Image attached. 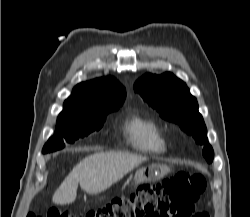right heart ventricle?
<instances>
[{
  "label": "right heart ventricle",
  "mask_w": 250,
  "mask_h": 217,
  "mask_svg": "<svg viewBox=\"0 0 250 217\" xmlns=\"http://www.w3.org/2000/svg\"><path fill=\"white\" fill-rule=\"evenodd\" d=\"M128 145L136 151L162 154L167 150V139L156 122L140 115H131L122 126Z\"/></svg>",
  "instance_id": "obj_1"
}]
</instances>
